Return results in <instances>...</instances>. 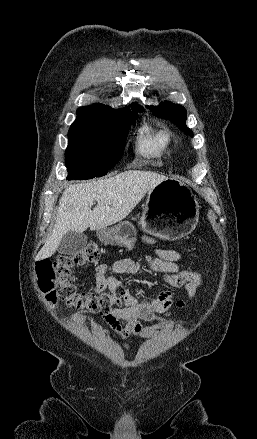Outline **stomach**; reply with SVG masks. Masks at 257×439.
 I'll return each mask as SVG.
<instances>
[{
    "instance_id": "1",
    "label": "stomach",
    "mask_w": 257,
    "mask_h": 439,
    "mask_svg": "<svg viewBox=\"0 0 257 439\" xmlns=\"http://www.w3.org/2000/svg\"><path fill=\"white\" fill-rule=\"evenodd\" d=\"M198 219L199 204L193 192L180 180L167 178L150 189L139 224L149 234L174 241L189 235ZM97 236L106 244L131 250L136 229L124 221L99 229Z\"/></svg>"
}]
</instances>
